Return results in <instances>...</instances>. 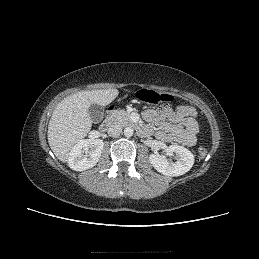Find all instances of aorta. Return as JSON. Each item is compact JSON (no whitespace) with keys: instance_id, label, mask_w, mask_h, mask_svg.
Wrapping results in <instances>:
<instances>
[{"instance_id":"obj_1","label":"aorta","mask_w":259,"mask_h":259,"mask_svg":"<svg viewBox=\"0 0 259 259\" xmlns=\"http://www.w3.org/2000/svg\"><path fill=\"white\" fill-rule=\"evenodd\" d=\"M133 133H134V130L131 128V127H126L125 129H124V135L126 136V137H132L133 136Z\"/></svg>"}]
</instances>
